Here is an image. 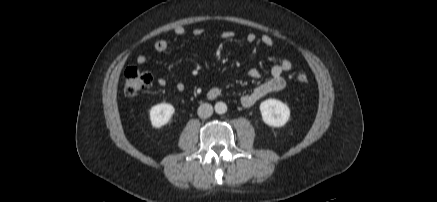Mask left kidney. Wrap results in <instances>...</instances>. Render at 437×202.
Returning <instances> with one entry per match:
<instances>
[{"label": "left kidney", "instance_id": "5707ae66", "mask_svg": "<svg viewBox=\"0 0 437 202\" xmlns=\"http://www.w3.org/2000/svg\"><path fill=\"white\" fill-rule=\"evenodd\" d=\"M260 111L264 123L273 127L284 126L290 117V109L283 102L267 99L260 104Z\"/></svg>", "mask_w": 437, "mask_h": 202}]
</instances>
